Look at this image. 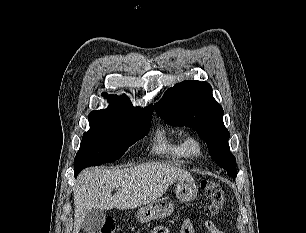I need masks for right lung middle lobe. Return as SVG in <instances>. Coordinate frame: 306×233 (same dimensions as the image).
Listing matches in <instances>:
<instances>
[{
	"instance_id": "right-lung-middle-lobe-1",
	"label": "right lung middle lobe",
	"mask_w": 306,
	"mask_h": 233,
	"mask_svg": "<svg viewBox=\"0 0 306 233\" xmlns=\"http://www.w3.org/2000/svg\"><path fill=\"white\" fill-rule=\"evenodd\" d=\"M90 130L83 134L74 161V174L89 166L119 159L136 141L147 134L151 114L130 116L106 112H91Z\"/></svg>"
}]
</instances>
